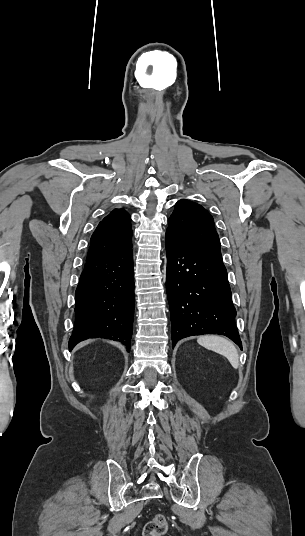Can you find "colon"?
<instances>
[{
  "mask_svg": "<svg viewBox=\"0 0 305 536\" xmlns=\"http://www.w3.org/2000/svg\"><path fill=\"white\" fill-rule=\"evenodd\" d=\"M167 529V518L164 515L159 514L145 524L142 536H165Z\"/></svg>",
  "mask_w": 305,
  "mask_h": 536,
  "instance_id": "obj_1",
  "label": "colon"
}]
</instances>
